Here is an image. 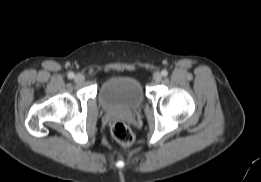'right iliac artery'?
Returning <instances> with one entry per match:
<instances>
[{"mask_svg":"<svg viewBox=\"0 0 261 182\" xmlns=\"http://www.w3.org/2000/svg\"><path fill=\"white\" fill-rule=\"evenodd\" d=\"M74 76H75V75H74L73 72H69V73H68V78L72 79V78H74Z\"/></svg>","mask_w":261,"mask_h":182,"instance_id":"82829eb1","label":"right iliac artery"}]
</instances>
